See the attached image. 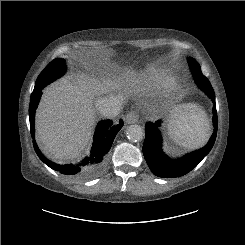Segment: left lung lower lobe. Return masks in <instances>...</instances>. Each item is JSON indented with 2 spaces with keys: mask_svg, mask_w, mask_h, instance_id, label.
Returning <instances> with one entry per match:
<instances>
[{
  "mask_svg": "<svg viewBox=\"0 0 245 245\" xmlns=\"http://www.w3.org/2000/svg\"><path fill=\"white\" fill-rule=\"evenodd\" d=\"M202 90L209 95L215 104V94L212 86L205 87ZM160 125L161 120H158L155 123L147 122L145 124V141L143 145L144 157L150 170L156 176L164 178L180 177L196 167L212 149L218 127L216 107L213 106L214 131L207 145L177 160H171L162 151L161 135L158 129Z\"/></svg>",
  "mask_w": 245,
  "mask_h": 245,
  "instance_id": "1",
  "label": "left lung lower lobe"
}]
</instances>
